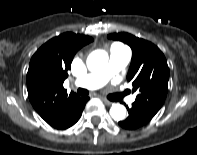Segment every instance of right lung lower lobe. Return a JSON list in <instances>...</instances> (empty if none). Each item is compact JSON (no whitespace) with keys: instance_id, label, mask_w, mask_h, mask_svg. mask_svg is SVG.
<instances>
[{"instance_id":"1","label":"right lung lower lobe","mask_w":197,"mask_h":155,"mask_svg":"<svg viewBox=\"0 0 197 155\" xmlns=\"http://www.w3.org/2000/svg\"><path fill=\"white\" fill-rule=\"evenodd\" d=\"M88 100V97H77L67 108L64 115L52 126L57 129H67L74 125L81 117L82 111Z\"/></svg>"}]
</instances>
